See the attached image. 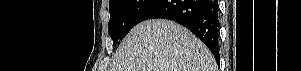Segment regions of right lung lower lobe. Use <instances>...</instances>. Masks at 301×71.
Returning a JSON list of instances; mask_svg holds the SVG:
<instances>
[{
    "label": "right lung lower lobe",
    "mask_w": 301,
    "mask_h": 71,
    "mask_svg": "<svg viewBox=\"0 0 301 71\" xmlns=\"http://www.w3.org/2000/svg\"><path fill=\"white\" fill-rule=\"evenodd\" d=\"M218 13L217 0H156L140 16L139 22L153 18L173 20L202 40L219 62Z\"/></svg>",
    "instance_id": "98d812e1"
}]
</instances>
